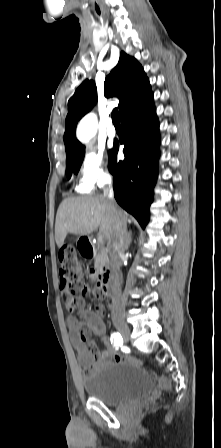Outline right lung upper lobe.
Segmentation results:
<instances>
[{"instance_id":"obj_1","label":"right lung upper lobe","mask_w":221,"mask_h":448,"mask_svg":"<svg viewBox=\"0 0 221 448\" xmlns=\"http://www.w3.org/2000/svg\"><path fill=\"white\" fill-rule=\"evenodd\" d=\"M106 97L119 98L120 118L122 115L146 99L151 92V86L142 66L133 57L121 52L116 67L106 77L104 82ZM97 101V89L92 80H85L68 101V115L64 142L66 156H72L84 150V146L76 139L78 120L89 112Z\"/></svg>"}]
</instances>
